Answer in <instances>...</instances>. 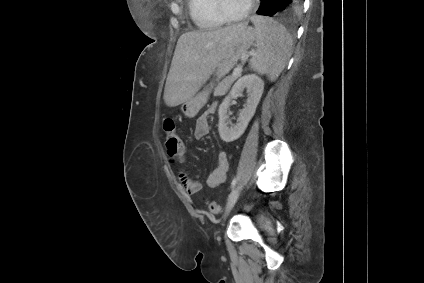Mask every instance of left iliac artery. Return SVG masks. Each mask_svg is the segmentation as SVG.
Instances as JSON below:
<instances>
[{"instance_id":"left-iliac-artery-1","label":"left iliac artery","mask_w":424,"mask_h":283,"mask_svg":"<svg viewBox=\"0 0 424 283\" xmlns=\"http://www.w3.org/2000/svg\"><path fill=\"white\" fill-rule=\"evenodd\" d=\"M236 182H237V178L234 177V179L232 180V183H231L232 188L235 186Z\"/></svg>"}]
</instances>
